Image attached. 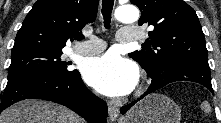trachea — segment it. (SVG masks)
<instances>
[{
    "mask_svg": "<svg viewBox=\"0 0 221 123\" xmlns=\"http://www.w3.org/2000/svg\"><path fill=\"white\" fill-rule=\"evenodd\" d=\"M114 5V0H103L102 1V15L104 17L105 28L110 27L111 13Z\"/></svg>",
    "mask_w": 221,
    "mask_h": 123,
    "instance_id": "3493384b",
    "label": "trachea"
}]
</instances>
